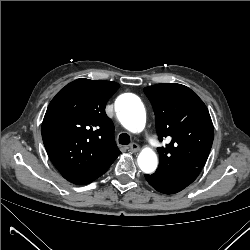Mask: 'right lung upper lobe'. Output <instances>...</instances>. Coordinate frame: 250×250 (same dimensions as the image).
I'll return each mask as SVG.
<instances>
[{"instance_id":"obj_1","label":"right lung upper lobe","mask_w":250,"mask_h":250,"mask_svg":"<svg viewBox=\"0 0 250 250\" xmlns=\"http://www.w3.org/2000/svg\"><path fill=\"white\" fill-rule=\"evenodd\" d=\"M119 84L77 79L50 102L42 123L47 154L64 175L93 170L120 154L114 125L105 113Z\"/></svg>"}]
</instances>
